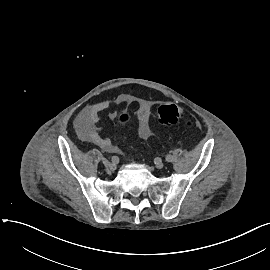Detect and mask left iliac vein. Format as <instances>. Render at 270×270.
<instances>
[{
	"label": "left iliac vein",
	"mask_w": 270,
	"mask_h": 270,
	"mask_svg": "<svg viewBox=\"0 0 270 270\" xmlns=\"http://www.w3.org/2000/svg\"><path fill=\"white\" fill-rule=\"evenodd\" d=\"M157 169H162L164 167V163L162 161H158L155 165Z\"/></svg>",
	"instance_id": "4c4485c4"
}]
</instances>
